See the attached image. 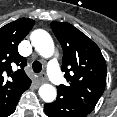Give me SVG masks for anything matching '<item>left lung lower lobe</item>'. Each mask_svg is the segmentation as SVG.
Returning <instances> with one entry per match:
<instances>
[{
	"mask_svg": "<svg viewBox=\"0 0 117 117\" xmlns=\"http://www.w3.org/2000/svg\"><path fill=\"white\" fill-rule=\"evenodd\" d=\"M48 117H85L90 112L58 92L57 99L44 105Z\"/></svg>",
	"mask_w": 117,
	"mask_h": 117,
	"instance_id": "0a47b994",
	"label": "left lung lower lobe"
}]
</instances>
